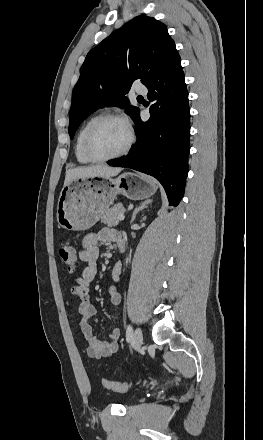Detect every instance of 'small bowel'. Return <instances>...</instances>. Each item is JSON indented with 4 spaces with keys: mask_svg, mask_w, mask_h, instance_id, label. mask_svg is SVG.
Returning <instances> with one entry per match:
<instances>
[{
    "mask_svg": "<svg viewBox=\"0 0 263 440\" xmlns=\"http://www.w3.org/2000/svg\"><path fill=\"white\" fill-rule=\"evenodd\" d=\"M111 242L116 245L123 243L122 234L114 229L104 228L90 234L83 239L82 249L79 251V259L86 263L80 276L74 279L75 284L71 288V295L79 305L80 318L78 325L87 343L86 353L92 359H102L110 356L118 349L117 341L120 338L119 328H114L108 339L101 340L96 337L92 323L96 321V307L90 300V284L95 279L98 271L99 245ZM121 274V264L115 265L112 271L114 281H118ZM112 305L118 306L121 296L114 287L109 291Z\"/></svg>",
    "mask_w": 263,
    "mask_h": 440,
    "instance_id": "1",
    "label": "small bowel"
}]
</instances>
